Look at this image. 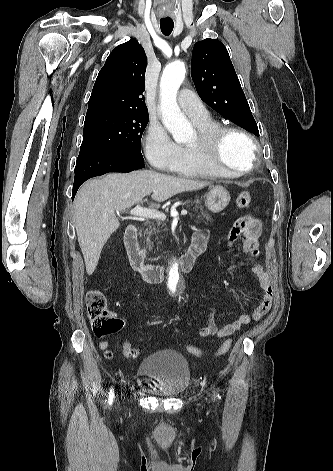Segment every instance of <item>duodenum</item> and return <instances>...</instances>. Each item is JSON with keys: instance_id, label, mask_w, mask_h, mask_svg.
I'll use <instances>...</instances> for the list:
<instances>
[{"instance_id": "410a0bca", "label": "duodenum", "mask_w": 333, "mask_h": 471, "mask_svg": "<svg viewBox=\"0 0 333 471\" xmlns=\"http://www.w3.org/2000/svg\"><path fill=\"white\" fill-rule=\"evenodd\" d=\"M124 243L131 267L138 271L148 283H159L164 279L166 268L160 265L145 262L144 255L138 243V228L131 225L127 228ZM206 245L201 241H192L186 253L178 260V269L181 272L191 271L197 258L205 250Z\"/></svg>"}]
</instances>
